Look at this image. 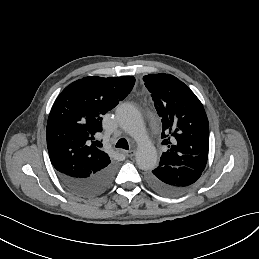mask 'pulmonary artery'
Listing matches in <instances>:
<instances>
[{
  "mask_svg": "<svg viewBox=\"0 0 259 259\" xmlns=\"http://www.w3.org/2000/svg\"><path fill=\"white\" fill-rule=\"evenodd\" d=\"M121 127L133 137L140 139L145 135L143 122L138 118L127 117L121 120Z\"/></svg>",
  "mask_w": 259,
  "mask_h": 259,
  "instance_id": "pulmonary-artery-1",
  "label": "pulmonary artery"
}]
</instances>
